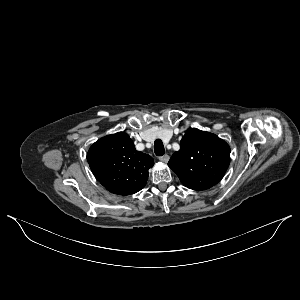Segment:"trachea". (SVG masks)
<instances>
[{"label": "trachea", "mask_w": 300, "mask_h": 300, "mask_svg": "<svg viewBox=\"0 0 300 300\" xmlns=\"http://www.w3.org/2000/svg\"><path fill=\"white\" fill-rule=\"evenodd\" d=\"M154 151L157 156H163L165 149L161 139H156L154 143Z\"/></svg>", "instance_id": "1"}]
</instances>
